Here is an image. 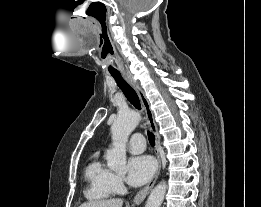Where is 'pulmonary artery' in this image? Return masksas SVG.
<instances>
[{"mask_svg":"<svg viewBox=\"0 0 261 207\" xmlns=\"http://www.w3.org/2000/svg\"><path fill=\"white\" fill-rule=\"evenodd\" d=\"M144 149H145L144 137L139 133L132 135L128 143V150L133 154H139L142 153Z\"/></svg>","mask_w":261,"mask_h":207,"instance_id":"obj_1","label":"pulmonary artery"}]
</instances>
